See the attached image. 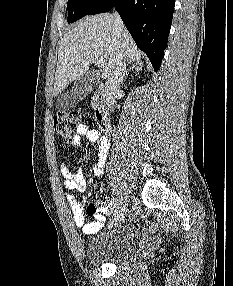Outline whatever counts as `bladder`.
Returning <instances> with one entry per match:
<instances>
[{"instance_id":"bladder-1","label":"bladder","mask_w":233,"mask_h":286,"mask_svg":"<svg viewBox=\"0 0 233 286\" xmlns=\"http://www.w3.org/2000/svg\"><path fill=\"white\" fill-rule=\"evenodd\" d=\"M141 239L136 227H122L113 232L101 234L89 242L84 250V257L94 265H119L135 255Z\"/></svg>"}]
</instances>
